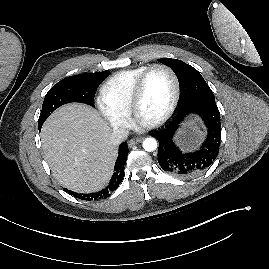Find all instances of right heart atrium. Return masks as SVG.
Returning a JSON list of instances; mask_svg holds the SVG:
<instances>
[{
  "label": "right heart atrium",
  "mask_w": 269,
  "mask_h": 269,
  "mask_svg": "<svg viewBox=\"0 0 269 269\" xmlns=\"http://www.w3.org/2000/svg\"><path fill=\"white\" fill-rule=\"evenodd\" d=\"M98 109L102 116L116 129L127 128L130 124L128 115L117 112L108 107L102 100L97 102Z\"/></svg>",
  "instance_id": "d8ad5b80"
}]
</instances>
